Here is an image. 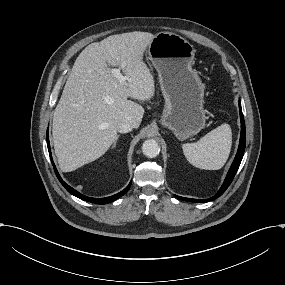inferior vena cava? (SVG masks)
I'll return each instance as SVG.
<instances>
[{
	"instance_id": "1",
	"label": "inferior vena cava",
	"mask_w": 285,
	"mask_h": 285,
	"mask_svg": "<svg viewBox=\"0 0 285 285\" xmlns=\"http://www.w3.org/2000/svg\"><path fill=\"white\" fill-rule=\"evenodd\" d=\"M132 128V124L127 120H123L117 124V131L120 133L129 132Z\"/></svg>"
}]
</instances>
